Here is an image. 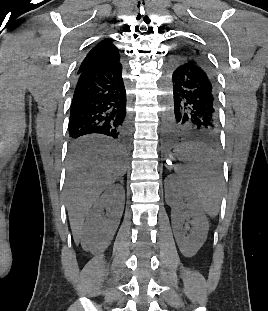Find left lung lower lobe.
Returning a JSON list of instances; mask_svg holds the SVG:
<instances>
[{
    "mask_svg": "<svg viewBox=\"0 0 268 311\" xmlns=\"http://www.w3.org/2000/svg\"><path fill=\"white\" fill-rule=\"evenodd\" d=\"M173 107L166 116L167 141H218V94L209 61L180 47L167 61ZM206 148V147H205Z\"/></svg>",
    "mask_w": 268,
    "mask_h": 311,
    "instance_id": "left-lung-lower-lobe-1",
    "label": "left lung lower lobe"
}]
</instances>
